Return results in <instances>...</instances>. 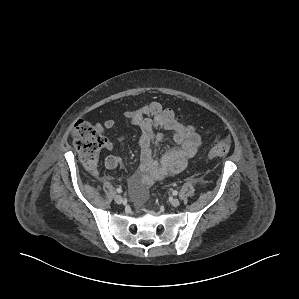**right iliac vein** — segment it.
I'll return each instance as SVG.
<instances>
[{"mask_svg": "<svg viewBox=\"0 0 299 299\" xmlns=\"http://www.w3.org/2000/svg\"><path fill=\"white\" fill-rule=\"evenodd\" d=\"M114 199H115V202H116L117 204H122V203H123V198H122V196H120V195H116V196L114 197Z\"/></svg>", "mask_w": 299, "mask_h": 299, "instance_id": "1", "label": "right iliac vein"}]
</instances>
